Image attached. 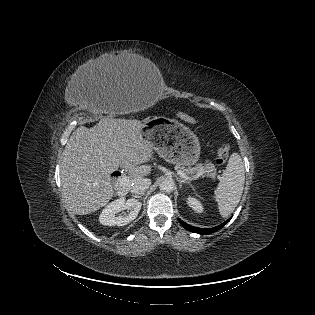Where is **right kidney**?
Listing matches in <instances>:
<instances>
[{
  "mask_svg": "<svg viewBox=\"0 0 315 315\" xmlns=\"http://www.w3.org/2000/svg\"><path fill=\"white\" fill-rule=\"evenodd\" d=\"M141 202L135 199L125 200L121 197L111 203H109L101 212L99 221L102 225L107 226H124L132 222L138 215L141 209ZM127 210V213L119 212Z\"/></svg>",
  "mask_w": 315,
  "mask_h": 315,
  "instance_id": "ca27d5eb",
  "label": "right kidney"
}]
</instances>
